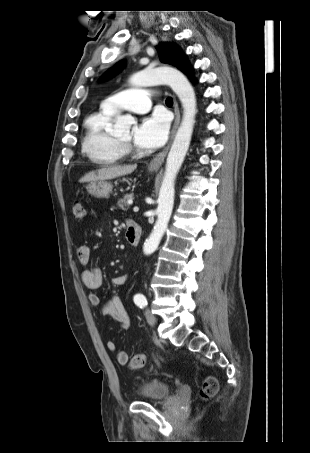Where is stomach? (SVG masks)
<instances>
[{"mask_svg":"<svg viewBox=\"0 0 310 453\" xmlns=\"http://www.w3.org/2000/svg\"><path fill=\"white\" fill-rule=\"evenodd\" d=\"M157 168H149V171H156ZM112 190V184L110 182H107L105 180H99L95 182H91L88 187L87 191L89 194L92 196L101 198V197H106L110 194Z\"/></svg>","mask_w":310,"mask_h":453,"instance_id":"1","label":"stomach"}]
</instances>
